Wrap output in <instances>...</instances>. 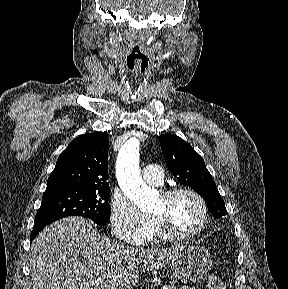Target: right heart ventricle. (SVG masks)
<instances>
[{
    "label": "right heart ventricle",
    "instance_id": "right-heart-ventricle-1",
    "mask_svg": "<svg viewBox=\"0 0 288 289\" xmlns=\"http://www.w3.org/2000/svg\"><path fill=\"white\" fill-rule=\"evenodd\" d=\"M155 236H158L161 240L166 239V237L160 233L155 222L152 220V231H151L149 238L146 241H151Z\"/></svg>",
    "mask_w": 288,
    "mask_h": 289
}]
</instances>
